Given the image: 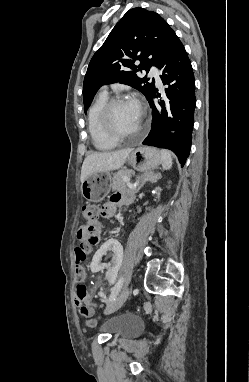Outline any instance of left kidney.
I'll list each match as a JSON object with an SVG mask.
<instances>
[{
    "label": "left kidney",
    "instance_id": "5707ae66",
    "mask_svg": "<svg viewBox=\"0 0 249 382\" xmlns=\"http://www.w3.org/2000/svg\"><path fill=\"white\" fill-rule=\"evenodd\" d=\"M160 188H156V191H158V196L153 197L154 203H162L163 197L160 196ZM139 207H144V202H139ZM119 241L117 237H108L107 241H105L104 245L101 246V248L96 252V254L93 257V260H91V271L93 273H104V286L105 287H112L113 283L116 281L117 272L121 267V263L123 261V258L125 257V248L126 245H119ZM106 254V257H113L114 260H109V262L105 263L103 261V255ZM102 298L108 297L107 291H96L95 296L92 298L94 301L97 299L98 301Z\"/></svg>",
    "mask_w": 249,
    "mask_h": 382
}]
</instances>
